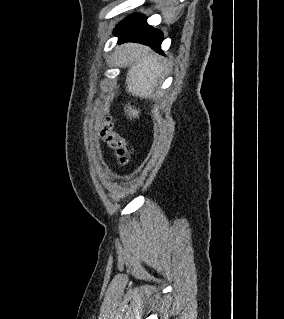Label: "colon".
<instances>
[{"instance_id":"colon-1","label":"colon","mask_w":284,"mask_h":319,"mask_svg":"<svg viewBox=\"0 0 284 319\" xmlns=\"http://www.w3.org/2000/svg\"><path fill=\"white\" fill-rule=\"evenodd\" d=\"M99 133L104 142L112 150L117 161L121 165H126L130 160L132 150L127 146L124 139L113 131L111 122L108 120L101 121Z\"/></svg>"}]
</instances>
